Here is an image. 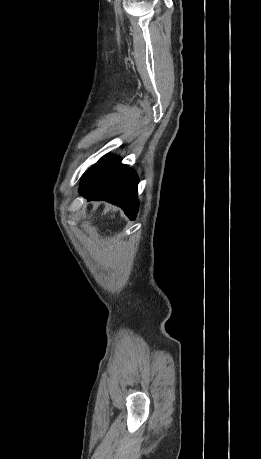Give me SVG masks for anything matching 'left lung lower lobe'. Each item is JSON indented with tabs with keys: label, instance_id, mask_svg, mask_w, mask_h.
Masks as SVG:
<instances>
[{
	"label": "left lung lower lobe",
	"instance_id": "left-lung-lower-lobe-1",
	"mask_svg": "<svg viewBox=\"0 0 261 459\" xmlns=\"http://www.w3.org/2000/svg\"><path fill=\"white\" fill-rule=\"evenodd\" d=\"M121 159L105 155L82 178L80 194L87 200H106L121 207L130 219L138 211L135 172L120 163Z\"/></svg>",
	"mask_w": 261,
	"mask_h": 459
}]
</instances>
